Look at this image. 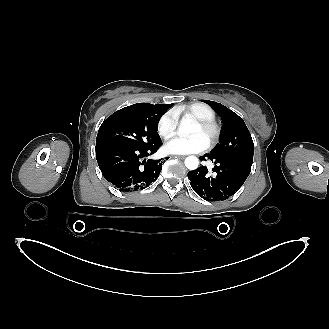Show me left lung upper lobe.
Segmentation results:
<instances>
[{"label":"left lung upper lobe","instance_id":"obj_1","mask_svg":"<svg viewBox=\"0 0 329 329\" xmlns=\"http://www.w3.org/2000/svg\"><path fill=\"white\" fill-rule=\"evenodd\" d=\"M202 101L210 105L223 121L220 144L210 154L236 158L252 163L254 143L244 121L236 113L220 103L209 100Z\"/></svg>","mask_w":329,"mask_h":329}]
</instances>
